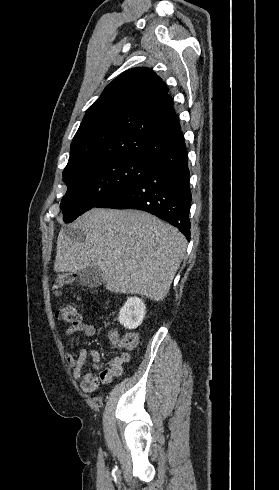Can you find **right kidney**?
<instances>
[{
  "instance_id": "1",
  "label": "right kidney",
  "mask_w": 279,
  "mask_h": 490,
  "mask_svg": "<svg viewBox=\"0 0 279 490\" xmlns=\"http://www.w3.org/2000/svg\"><path fill=\"white\" fill-rule=\"evenodd\" d=\"M146 314V306L141 298H128L124 306L120 308L118 320L124 328L135 330L141 326Z\"/></svg>"
}]
</instances>
